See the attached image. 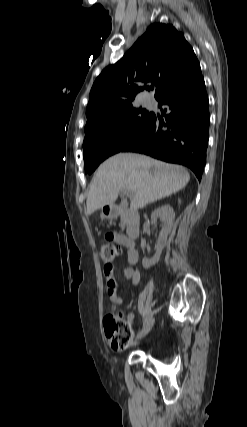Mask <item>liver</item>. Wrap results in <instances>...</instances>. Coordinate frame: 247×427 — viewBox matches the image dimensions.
Segmentation results:
<instances>
[{
  "instance_id": "liver-1",
  "label": "liver",
  "mask_w": 247,
  "mask_h": 427,
  "mask_svg": "<svg viewBox=\"0 0 247 427\" xmlns=\"http://www.w3.org/2000/svg\"><path fill=\"white\" fill-rule=\"evenodd\" d=\"M189 180L190 174L182 166L141 154L119 153L98 167L87 195V214L113 204L120 190L132 193L131 208L137 210L178 192Z\"/></svg>"
}]
</instances>
